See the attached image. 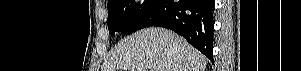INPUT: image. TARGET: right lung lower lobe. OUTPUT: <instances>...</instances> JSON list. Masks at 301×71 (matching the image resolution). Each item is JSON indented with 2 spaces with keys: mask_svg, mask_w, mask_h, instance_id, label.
Listing matches in <instances>:
<instances>
[{
  "mask_svg": "<svg viewBox=\"0 0 301 71\" xmlns=\"http://www.w3.org/2000/svg\"><path fill=\"white\" fill-rule=\"evenodd\" d=\"M160 26L182 35L213 62V0H157L142 28Z\"/></svg>",
  "mask_w": 301,
  "mask_h": 71,
  "instance_id": "obj_1",
  "label": "right lung lower lobe"
}]
</instances>
